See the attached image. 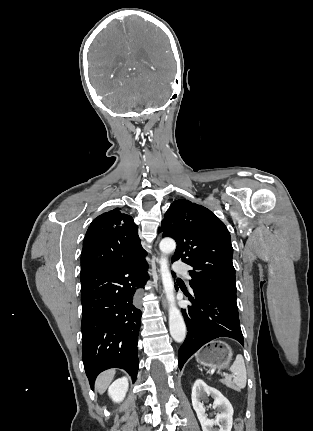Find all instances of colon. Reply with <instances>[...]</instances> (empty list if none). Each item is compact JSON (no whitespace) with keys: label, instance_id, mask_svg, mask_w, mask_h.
Masks as SVG:
<instances>
[{"label":"colon","instance_id":"colon-1","mask_svg":"<svg viewBox=\"0 0 313 431\" xmlns=\"http://www.w3.org/2000/svg\"><path fill=\"white\" fill-rule=\"evenodd\" d=\"M242 427H243L242 421L240 419H237L235 422L236 431H242Z\"/></svg>","mask_w":313,"mask_h":431}]
</instances>
